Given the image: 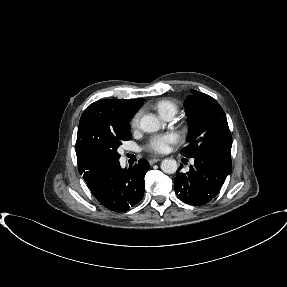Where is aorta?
I'll return each instance as SVG.
<instances>
[{
	"label": "aorta",
	"instance_id": "1",
	"mask_svg": "<svg viewBox=\"0 0 287 287\" xmlns=\"http://www.w3.org/2000/svg\"><path fill=\"white\" fill-rule=\"evenodd\" d=\"M161 123L157 117L148 114L140 120V128L144 132H155L159 130ZM178 165L174 159H164L161 162V170L166 174H173L177 171Z\"/></svg>",
	"mask_w": 287,
	"mask_h": 287
}]
</instances>
